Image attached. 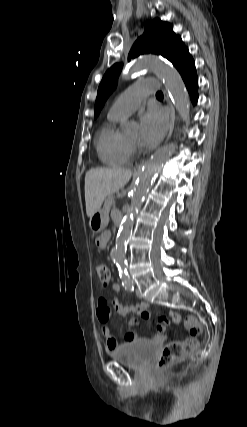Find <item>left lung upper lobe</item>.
I'll return each instance as SVG.
<instances>
[{"label":"left lung upper lobe","instance_id":"left-lung-upper-lobe-1","mask_svg":"<svg viewBox=\"0 0 247 427\" xmlns=\"http://www.w3.org/2000/svg\"><path fill=\"white\" fill-rule=\"evenodd\" d=\"M157 54L168 59L176 68L191 57L180 36L173 32V25L156 18L148 22L141 37L134 43L128 60L142 54ZM122 64H114L105 73L95 102V118L100 113L105 100L110 95Z\"/></svg>","mask_w":247,"mask_h":427}]
</instances>
